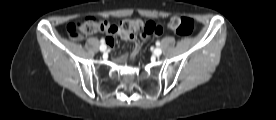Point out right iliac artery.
Segmentation results:
<instances>
[{
  "mask_svg": "<svg viewBox=\"0 0 276 120\" xmlns=\"http://www.w3.org/2000/svg\"><path fill=\"white\" fill-rule=\"evenodd\" d=\"M101 44L104 45L105 44V39H101Z\"/></svg>",
  "mask_w": 276,
  "mask_h": 120,
  "instance_id": "1",
  "label": "right iliac artery"
}]
</instances>
